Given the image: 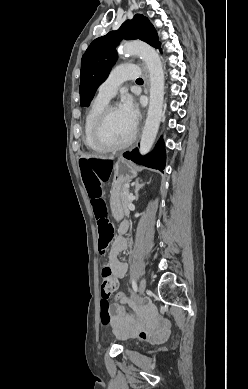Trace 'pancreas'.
Listing matches in <instances>:
<instances>
[{
    "label": "pancreas",
    "mask_w": 248,
    "mask_h": 389,
    "mask_svg": "<svg viewBox=\"0 0 248 389\" xmlns=\"http://www.w3.org/2000/svg\"><path fill=\"white\" fill-rule=\"evenodd\" d=\"M118 189L121 192V202H122V206H123V209H124V213L126 215H128L129 210H128L127 206L131 202V200L129 199V195L130 194H129L128 188H127L126 185H122Z\"/></svg>",
    "instance_id": "cf45deb5"
}]
</instances>
